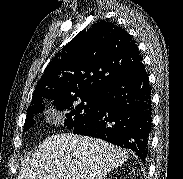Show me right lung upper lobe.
<instances>
[{
    "mask_svg": "<svg viewBox=\"0 0 183 179\" xmlns=\"http://www.w3.org/2000/svg\"><path fill=\"white\" fill-rule=\"evenodd\" d=\"M142 65L137 44L127 31L115 23L97 21L78 33L48 64L31 106L44 98L100 94Z\"/></svg>",
    "mask_w": 183,
    "mask_h": 179,
    "instance_id": "obj_1",
    "label": "right lung upper lobe"
}]
</instances>
